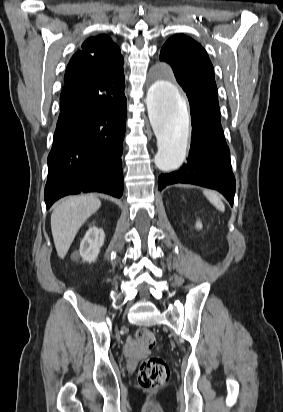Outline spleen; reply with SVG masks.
I'll use <instances>...</instances> for the list:
<instances>
[{"instance_id":"spleen-1","label":"spleen","mask_w":283,"mask_h":412,"mask_svg":"<svg viewBox=\"0 0 283 412\" xmlns=\"http://www.w3.org/2000/svg\"><path fill=\"white\" fill-rule=\"evenodd\" d=\"M203 193L206 196V198L210 201V203H212L219 211H225V206L220 197L216 193L211 191H204Z\"/></svg>"}]
</instances>
